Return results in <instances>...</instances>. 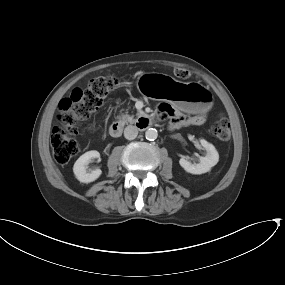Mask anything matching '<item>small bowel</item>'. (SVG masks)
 Returning <instances> with one entry per match:
<instances>
[{"label": "small bowel", "mask_w": 285, "mask_h": 285, "mask_svg": "<svg viewBox=\"0 0 285 285\" xmlns=\"http://www.w3.org/2000/svg\"><path fill=\"white\" fill-rule=\"evenodd\" d=\"M157 117L159 119L171 118L169 127L171 129L180 126H189L204 120V116H186V115H175L174 110L170 105L161 104L157 109Z\"/></svg>", "instance_id": "1"}]
</instances>
